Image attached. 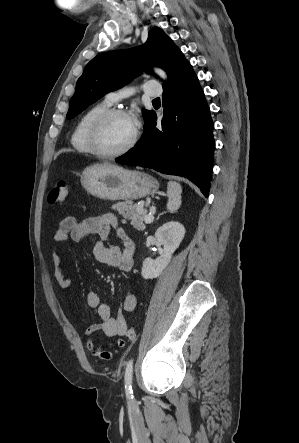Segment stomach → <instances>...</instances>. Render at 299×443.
I'll return each mask as SVG.
<instances>
[{
  "mask_svg": "<svg viewBox=\"0 0 299 443\" xmlns=\"http://www.w3.org/2000/svg\"><path fill=\"white\" fill-rule=\"evenodd\" d=\"M87 192L105 200H135L156 193L159 184L152 176L114 164L87 167L81 176Z\"/></svg>",
  "mask_w": 299,
  "mask_h": 443,
  "instance_id": "obj_1",
  "label": "stomach"
}]
</instances>
